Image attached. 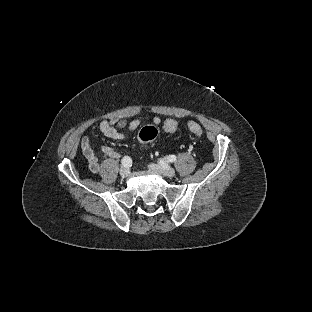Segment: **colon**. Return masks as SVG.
Returning <instances> with one entry per match:
<instances>
[{
  "label": "colon",
  "instance_id": "obj_1",
  "mask_svg": "<svg viewBox=\"0 0 312 312\" xmlns=\"http://www.w3.org/2000/svg\"><path fill=\"white\" fill-rule=\"evenodd\" d=\"M165 129L167 132L172 133L176 129V123L173 120H169L165 124ZM188 129L191 132H195L197 135H201L204 132V129L201 125L190 122L188 124ZM158 131L155 126H147L142 128L136 135V138L140 142H150L153 141L157 137Z\"/></svg>",
  "mask_w": 312,
  "mask_h": 312
}]
</instances>
